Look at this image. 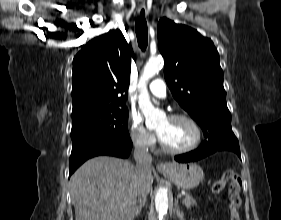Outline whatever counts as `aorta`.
I'll return each mask as SVG.
<instances>
[{
	"label": "aorta",
	"instance_id": "aorta-1",
	"mask_svg": "<svg viewBox=\"0 0 281 220\" xmlns=\"http://www.w3.org/2000/svg\"><path fill=\"white\" fill-rule=\"evenodd\" d=\"M163 66L162 57H154L150 58L144 67V71L142 76L140 77V81L138 83L139 90V98L138 104L145 116V123L147 127H153L162 113L157 110L150 101V97L147 89V82L151 79L155 74L159 72V70ZM155 206L156 211L158 213L159 220H162L164 215L168 210V194L165 189H159L155 195Z\"/></svg>",
	"mask_w": 281,
	"mask_h": 220
}]
</instances>
